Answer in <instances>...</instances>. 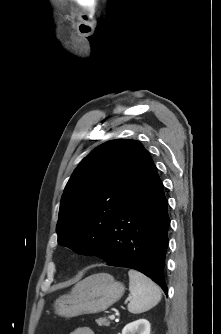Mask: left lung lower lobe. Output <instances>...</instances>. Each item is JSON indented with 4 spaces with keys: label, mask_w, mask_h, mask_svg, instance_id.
<instances>
[{
    "label": "left lung lower lobe",
    "mask_w": 221,
    "mask_h": 334,
    "mask_svg": "<svg viewBox=\"0 0 221 334\" xmlns=\"http://www.w3.org/2000/svg\"><path fill=\"white\" fill-rule=\"evenodd\" d=\"M168 201L152 164L114 217L101 257L108 265L138 270L167 294L165 259L170 219Z\"/></svg>",
    "instance_id": "0a47b994"
}]
</instances>
